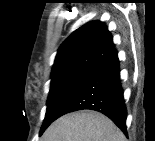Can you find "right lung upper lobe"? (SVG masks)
Segmentation results:
<instances>
[{"label": "right lung upper lobe", "mask_w": 155, "mask_h": 141, "mask_svg": "<svg viewBox=\"0 0 155 141\" xmlns=\"http://www.w3.org/2000/svg\"><path fill=\"white\" fill-rule=\"evenodd\" d=\"M113 51V39L104 23H87L60 46L51 76L80 68L96 70Z\"/></svg>", "instance_id": "1"}]
</instances>
